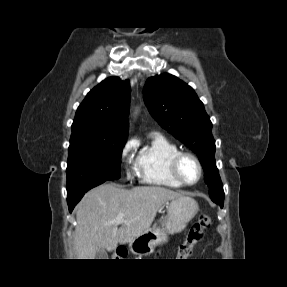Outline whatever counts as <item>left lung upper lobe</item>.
<instances>
[{
	"mask_svg": "<svg viewBox=\"0 0 287 287\" xmlns=\"http://www.w3.org/2000/svg\"><path fill=\"white\" fill-rule=\"evenodd\" d=\"M143 93L156 121L197 154L212 201L223 204L225 195L214 158L212 123L193 88L164 73L148 78Z\"/></svg>",
	"mask_w": 287,
	"mask_h": 287,
	"instance_id": "5c2ea615",
	"label": "left lung upper lobe"
}]
</instances>
